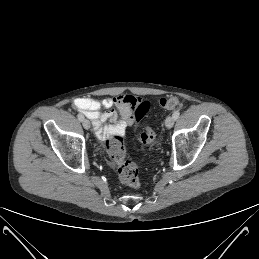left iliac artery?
Masks as SVG:
<instances>
[{
    "label": "left iliac artery",
    "instance_id": "44dca946",
    "mask_svg": "<svg viewBox=\"0 0 259 259\" xmlns=\"http://www.w3.org/2000/svg\"><path fill=\"white\" fill-rule=\"evenodd\" d=\"M179 115H180L179 110H176V111L173 112V118H174L175 120L179 118Z\"/></svg>",
    "mask_w": 259,
    "mask_h": 259
}]
</instances>
